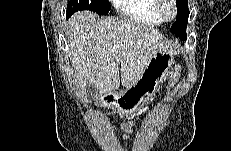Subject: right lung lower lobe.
Here are the masks:
<instances>
[{"label":"right lung lower lobe","mask_w":231,"mask_h":151,"mask_svg":"<svg viewBox=\"0 0 231 151\" xmlns=\"http://www.w3.org/2000/svg\"><path fill=\"white\" fill-rule=\"evenodd\" d=\"M70 17V15L67 14V18Z\"/></svg>","instance_id":"obj_1"}]
</instances>
